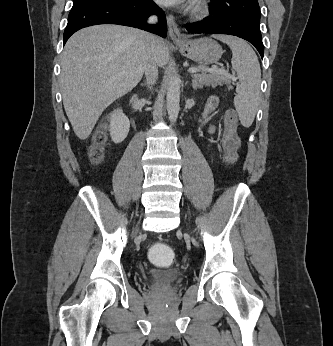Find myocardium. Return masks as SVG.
Wrapping results in <instances>:
<instances>
[{
    "instance_id": "obj_1",
    "label": "myocardium",
    "mask_w": 333,
    "mask_h": 346,
    "mask_svg": "<svg viewBox=\"0 0 333 346\" xmlns=\"http://www.w3.org/2000/svg\"><path fill=\"white\" fill-rule=\"evenodd\" d=\"M196 9L199 12H204L206 10V5L202 4V3H199V4L196 5Z\"/></svg>"
}]
</instances>
